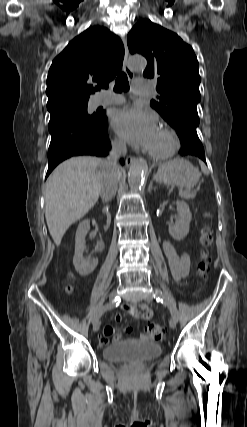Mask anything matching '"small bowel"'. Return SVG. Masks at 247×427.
Instances as JSON below:
<instances>
[{"instance_id":"obj_1","label":"small bowel","mask_w":247,"mask_h":427,"mask_svg":"<svg viewBox=\"0 0 247 427\" xmlns=\"http://www.w3.org/2000/svg\"><path fill=\"white\" fill-rule=\"evenodd\" d=\"M163 250L165 256L168 259L169 267L173 277L177 280L184 278L189 271L190 267V259L187 253L179 254L175 247L168 241L163 242ZM126 311L139 319L148 320L152 317L153 312L148 307L142 305L140 310L134 304H130L126 306ZM115 320L120 322L122 320V315L120 313L115 314ZM132 332L131 327H126L124 330L125 334H130ZM103 338L101 339V344L106 345L109 341V338L112 337L114 342H119L123 338V334L120 332H116L115 328L112 325H106L103 329ZM140 338L145 340L148 338L147 335H141Z\"/></svg>"}]
</instances>
